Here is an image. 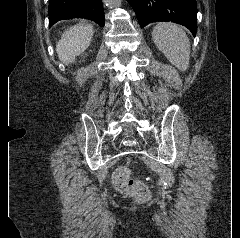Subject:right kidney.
<instances>
[{
  "label": "right kidney",
  "instance_id": "ca27d5eb",
  "mask_svg": "<svg viewBox=\"0 0 240 238\" xmlns=\"http://www.w3.org/2000/svg\"><path fill=\"white\" fill-rule=\"evenodd\" d=\"M94 29L90 24L79 23L66 30L56 45L60 61L66 65L83 53L90 45Z\"/></svg>",
  "mask_w": 240,
  "mask_h": 238
}]
</instances>
